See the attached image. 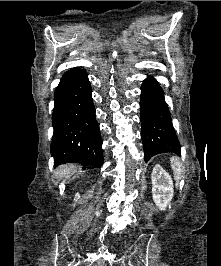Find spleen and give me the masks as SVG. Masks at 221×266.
<instances>
[{
	"instance_id": "3e777b00",
	"label": "spleen",
	"mask_w": 221,
	"mask_h": 266,
	"mask_svg": "<svg viewBox=\"0 0 221 266\" xmlns=\"http://www.w3.org/2000/svg\"><path fill=\"white\" fill-rule=\"evenodd\" d=\"M171 162V167L174 171L175 177L179 180L182 177V169H181V164L179 163L178 159L176 157H172L170 159Z\"/></svg>"
}]
</instances>
